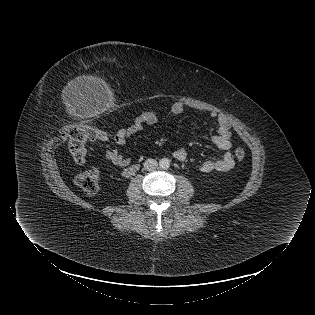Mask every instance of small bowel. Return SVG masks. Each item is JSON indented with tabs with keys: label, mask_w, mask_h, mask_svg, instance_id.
<instances>
[{
	"label": "small bowel",
	"mask_w": 315,
	"mask_h": 315,
	"mask_svg": "<svg viewBox=\"0 0 315 315\" xmlns=\"http://www.w3.org/2000/svg\"><path fill=\"white\" fill-rule=\"evenodd\" d=\"M185 106L180 102H175L171 105L170 111L173 114H181L185 111ZM209 116L216 122V129L210 135L205 136L212 144L224 152L222 158L217 160H206L201 164L203 172H226L231 170L235 161L231 154V123L227 116L223 113L210 112ZM159 114L153 110H147L139 114L131 125L125 128L118 129L113 134V139L116 144L124 145L126 141L133 135L141 132L145 126L156 125L159 123ZM198 121H195L193 127L196 131ZM173 156L178 161H184L187 158V152L184 148H179L174 151ZM105 157L114 165L125 168L130 164V159L124 156L118 149L110 148L105 150Z\"/></svg>",
	"instance_id": "small-bowel-1"
}]
</instances>
